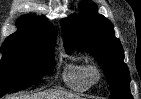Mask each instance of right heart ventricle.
<instances>
[{
	"instance_id": "obj_1",
	"label": "right heart ventricle",
	"mask_w": 141,
	"mask_h": 99,
	"mask_svg": "<svg viewBox=\"0 0 141 99\" xmlns=\"http://www.w3.org/2000/svg\"><path fill=\"white\" fill-rule=\"evenodd\" d=\"M87 67L83 62H71L66 64L62 72L63 82L72 90L83 92L92 85L87 77Z\"/></svg>"
}]
</instances>
